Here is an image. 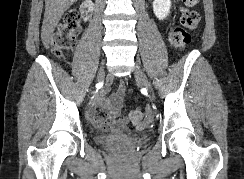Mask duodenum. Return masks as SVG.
Returning <instances> with one entry per match:
<instances>
[{"label": "duodenum", "mask_w": 244, "mask_h": 179, "mask_svg": "<svg viewBox=\"0 0 244 179\" xmlns=\"http://www.w3.org/2000/svg\"><path fill=\"white\" fill-rule=\"evenodd\" d=\"M94 2L90 0H86L83 2L81 13L85 19H90L93 12Z\"/></svg>", "instance_id": "410a0bca"}]
</instances>
